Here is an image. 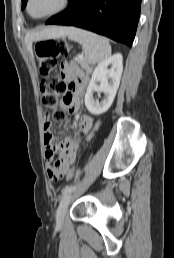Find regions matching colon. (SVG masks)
<instances>
[{
	"mask_svg": "<svg viewBox=\"0 0 174 258\" xmlns=\"http://www.w3.org/2000/svg\"><path fill=\"white\" fill-rule=\"evenodd\" d=\"M68 44L61 39L41 40L35 44V54L38 59L40 72L48 75L54 69L57 59L69 53ZM40 90L42 92V99L44 105L48 108V115L55 121L61 122L65 119V112L59 107V98L68 90V84L63 79L57 77H46L40 83ZM99 124L96 123L93 132L96 131ZM90 134L89 139L93 136ZM75 171L73 168L66 173V178L72 180Z\"/></svg>",
	"mask_w": 174,
	"mask_h": 258,
	"instance_id": "colon-1",
	"label": "colon"
}]
</instances>
